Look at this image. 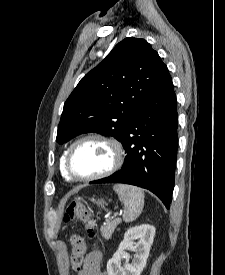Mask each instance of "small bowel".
<instances>
[{
	"label": "small bowel",
	"mask_w": 225,
	"mask_h": 275,
	"mask_svg": "<svg viewBox=\"0 0 225 275\" xmlns=\"http://www.w3.org/2000/svg\"><path fill=\"white\" fill-rule=\"evenodd\" d=\"M77 275H105L101 268V255L99 252L87 254L83 259L81 269Z\"/></svg>",
	"instance_id": "obj_1"
}]
</instances>
